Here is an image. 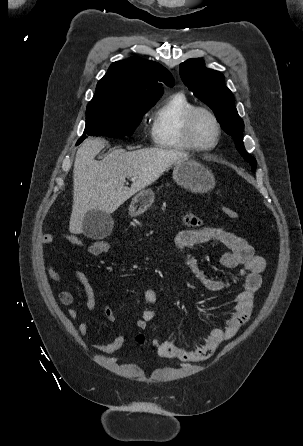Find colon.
<instances>
[{
    "label": "colon",
    "mask_w": 303,
    "mask_h": 446,
    "mask_svg": "<svg viewBox=\"0 0 303 446\" xmlns=\"http://www.w3.org/2000/svg\"><path fill=\"white\" fill-rule=\"evenodd\" d=\"M222 211L228 218H230L232 220H236L238 218V213L233 208L224 206L222 208ZM97 242H98V245L90 253L94 256H101V255H104L105 253H107L109 250V247H110L109 242L105 241V240H101V241H97ZM136 341L142 345L145 343V337L143 335H138L136 337Z\"/></svg>",
    "instance_id": "obj_1"
}]
</instances>
